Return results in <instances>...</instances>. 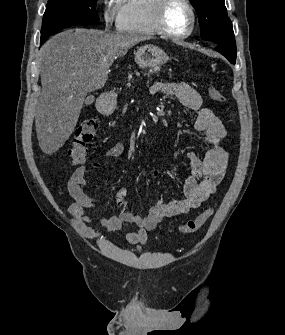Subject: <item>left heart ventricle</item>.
Here are the masks:
<instances>
[{
  "mask_svg": "<svg viewBox=\"0 0 285 335\" xmlns=\"http://www.w3.org/2000/svg\"><path fill=\"white\" fill-rule=\"evenodd\" d=\"M189 12L186 7L181 3H174L168 10L167 22L173 30H179L180 28L188 24Z\"/></svg>",
  "mask_w": 285,
  "mask_h": 335,
  "instance_id": "left-heart-ventricle-1",
  "label": "left heart ventricle"
}]
</instances>
